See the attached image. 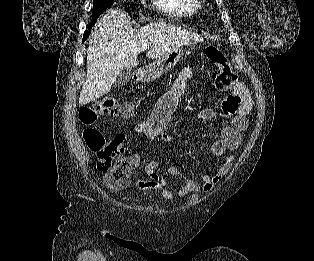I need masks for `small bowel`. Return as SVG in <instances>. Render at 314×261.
Masks as SVG:
<instances>
[{"instance_id": "obj_1", "label": "small bowel", "mask_w": 314, "mask_h": 261, "mask_svg": "<svg viewBox=\"0 0 314 261\" xmlns=\"http://www.w3.org/2000/svg\"><path fill=\"white\" fill-rule=\"evenodd\" d=\"M192 76L193 68L191 66H186L180 71L172 86L156 103L150 117L136 125L137 134L148 139L160 137L166 143L171 142V136L166 131V126ZM251 107L252 101L249 92L242 83H238L233 95L221 103V115L230 118L231 122L222 126L219 130V137L208 145V149L214 156L224 158L221 166L214 174L202 175L199 181H195L178 167L169 166L166 168L167 175L178 176L184 180V184L175 191L168 180L158 174L157 168L162 162V157H158L145 165L144 171L148 179L137 180L135 182L136 187L147 192H159L165 199H172L176 194L183 197L198 191L211 192L233 165L234 157L230 153L238 149L241 143V133L247 129V116ZM215 116L214 112L203 110L198 113L197 118L209 120ZM118 138L123 142L125 140L123 136H118ZM129 160L132 167L139 165L140 158L138 155H132Z\"/></svg>"}]
</instances>
